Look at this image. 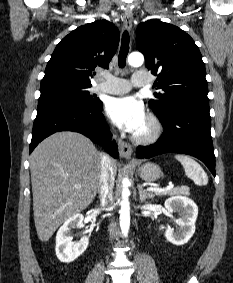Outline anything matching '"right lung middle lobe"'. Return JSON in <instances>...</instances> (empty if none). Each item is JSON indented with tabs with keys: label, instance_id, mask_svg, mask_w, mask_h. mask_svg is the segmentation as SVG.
<instances>
[{
	"label": "right lung middle lobe",
	"instance_id": "1",
	"mask_svg": "<svg viewBox=\"0 0 233 283\" xmlns=\"http://www.w3.org/2000/svg\"><path fill=\"white\" fill-rule=\"evenodd\" d=\"M89 87L66 80L41 82L38 104L46 101H64L85 107H95L101 104V101L89 94L87 90Z\"/></svg>",
	"mask_w": 233,
	"mask_h": 283
}]
</instances>
